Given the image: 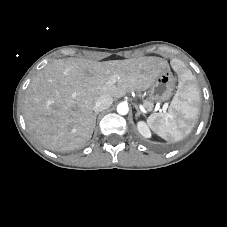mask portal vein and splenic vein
Instances as JSON below:
<instances>
[{"label": "portal vein and splenic vein", "instance_id": "obj_1", "mask_svg": "<svg viewBox=\"0 0 227 227\" xmlns=\"http://www.w3.org/2000/svg\"><path fill=\"white\" fill-rule=\"evenodd\" d=\"M116 82V79L115 77H111L109 80H108V84H114ZM163 112L166 113L167 111V105H164L163 108H162Z\"/></svg>", "mask_w": 227, "mask_h": 227}]
</instances>
